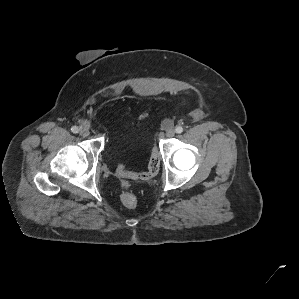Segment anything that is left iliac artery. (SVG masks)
Returning <instances> with one entry per match:
<instances>
[{
  "mask_svg": "<svg viewBox=\"0 0 299 299\" xmlns=\"http://www.w3.org/2000/svg\"><path fill=\"white\" fill-rule=\"evenodd\" d=\"M176 132H177L178 134L182 133V132H183V127H182V126H177V127H176Z\"/></svg>",
  "mask_w": 299,
  "mask_h": 299,
  "instance_id": "44dca946",
  "label": "left iliac artery"
}]
</instances>
